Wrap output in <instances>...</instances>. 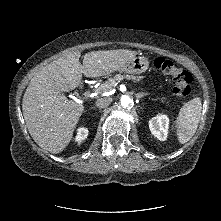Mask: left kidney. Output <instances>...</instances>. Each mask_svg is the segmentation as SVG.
I'll return each instance as SVG.
<instances>
[{
    "label": "left kidney",
    "instance_id": "left-kidney-1",
    "mask_svg": "<svg viewBox=\"0 0 221 221\" xmlns=\"http://www.w3.org/2000/svg\"><path fill=\"white\" fill-rule=\"evenodd\" d=\"M151 133L160 141H165L168 135L169 118L167 115H157L149 120Z\"/></svg>",
    "mask_w": 221,
    "mask_h": 221
}]
</instances>
